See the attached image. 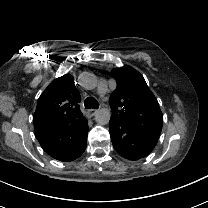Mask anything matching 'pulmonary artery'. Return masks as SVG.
Instances as JSON below:
<instances>
[{"instance_id":"1","label":"pulmonary artery","mask_w":208,"mask_h":208,"mask_svg":"<svg viewBox=\"0 0 208 208\" xmlns=\"http://www.w3.org/2000/svg\"><path fill=\"white\" fill-rule=\"evenodd\" d=\"M99 90L104 91L107 88V82L105 79L101 78L98 79V84H97Z\"/></svg>"}]
</instances>
